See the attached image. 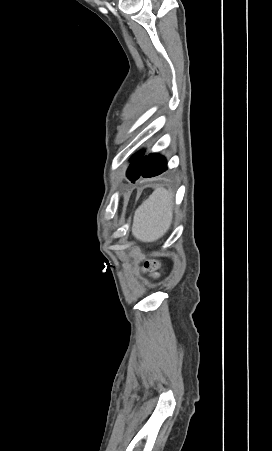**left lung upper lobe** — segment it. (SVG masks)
I'll return each instance as SVG.
<instances>
[{
    "label": "left lung upper lobe",
    "mask_w": 272,
    "mask_h": 451,
    "mask_svg": "<svg viewBox=\"0 0 272 451\" xmlns=\"http://www.w3.org/2000/svg\"><path fill=\"white\" fill-rule=\"evenodd\" d=\"M143 155H144V152H140V153L133 155L132 162L127 170L128 179L135 178L140 174L142 167L144 165L145 158H146V157H143Z\"/></svg>",
    "instance_id": "obj_1"
}]
</instances>
